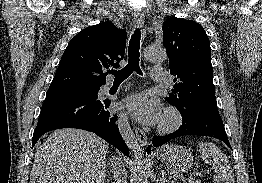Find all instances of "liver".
Listing matches in <instances>:
<instances>
[{"instance_id":"1","label":"liver","mask_w":262,"mask_h":183,"mask_svg":"<svg viewBox=\"0 0 262 183\" xmlns=\"http://www.w3.org/2000/svg\"><path fill=\"white\" fill-rule=\"evenodd\" d=\"M107 150L91 132L55 130L36 151L30 183H105Z\"/></svg>"}]
</instances>
